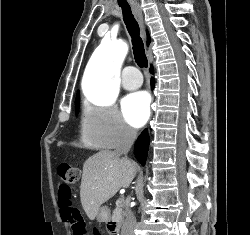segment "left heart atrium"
Segmentation results:
<instances>
[{
    "label": "left heart atrium",
    "mask_w": 250,
    "mask_h": 235,
    "mask_svg": "<svg viewBox=\"0 0 250 235\" xmlns=\"http://www.w3.org/2000/svg\"><path fill=\"white\" fill-rule=\"evenodd\" d=\"M125 119L134 127L142 126L150 114V98L146 92L140 91L128 95L122 102Z\"/></svg>",
    "instance_id": "left-heart-atrium-1"
}]
</instances>
